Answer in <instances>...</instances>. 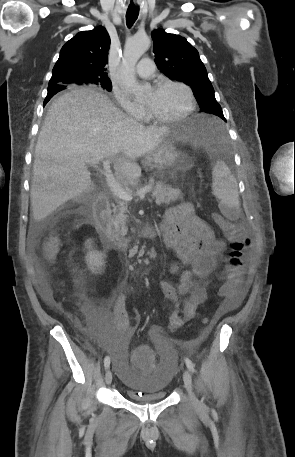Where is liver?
I'll return each mask as SVG.
<instances>
[{
	"instance_id": "liver-1",
	"label": "liver",
	"mask_w": 295,
	"mask_h": 457,
	"mask_svg": "<svg viewBox=\"0 0 295 457\" xmlns=\"http://www.w3.org/2000/svg\"><path fill=\"white\" fill-rule=\"evenodd\" d=\"M171 131L145 127L125 115L104 94L70 91L50 106L35 147L31 206L41 221L68 200L93 189L87 165L111 159L121 180L136 184V159L153 151ZM121 154V155H120Z\"/></svg>"
}]
</instances>
